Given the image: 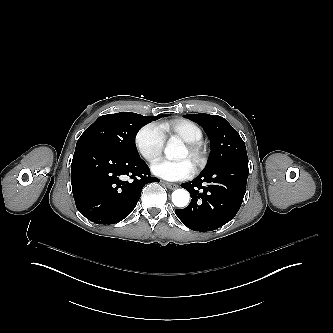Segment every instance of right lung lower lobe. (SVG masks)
Returning <instances> with one entry per match:
<instances>
[{"label":"right lung lower lobe","mask_w":333,"mask_h":333,"mask_svg":"<svg viewBox=\"0 0 333 333\" xmlns=\"http://www.w3.org/2000/svg\"><path fill=\"white\" fill-rule=\"evenodd\" d=\"M71 174L78 211L97 224L122 221L135 208L143 186L159 182L141 158L123 157L92 142L76 145ZM127 176L130 180L123 181Z\"/></svg>","instance_id":"obj_1"}]
</instances>
